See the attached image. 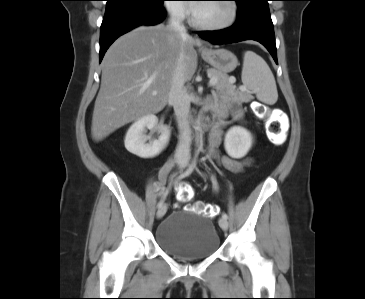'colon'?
<instances>
[{
  "label": "colon",
  "instance_id": "obj_1",
  "mask_svg": "<svg viewBox=\"0 0 365 299\" xmlns=\"http://www.w3.org/2000/svg\"><path fill=\"white\" fill-rule=\"evenodd\" d=\"M227 1V0H225ZM257 112L262 117H267V127L266 133L268 138L276 143L281 144L284 142L286 137V130L284 127V123L282 121V116L280 113L272 114L269 112L267 106L260 104L257 107ZM194 195V190L190 185L182 184L178 187L177 197L181 204H185L191 200ZM191 209L194 212L203 214L208 217H213L217 214V206L214 204H206L203 202L195 203Z\"/></svg>",
  "mask_w": 365,
  "mask_h": 299
}]
</instances>
